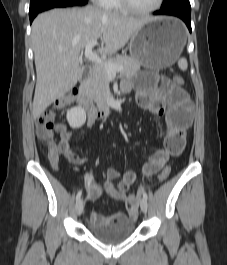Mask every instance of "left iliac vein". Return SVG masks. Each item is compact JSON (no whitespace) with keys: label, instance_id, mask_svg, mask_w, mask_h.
<instances>
[{"label":"left iliac vein","instance_id":"1","mask_svg":"<svg viewBox=\"0 0 227 265\" xmlns=\"http://www.w3.org/2000/svg\"><path fill=\"white\" fill-rule=\"evenodd\" d=\"M140 208L144 213H146L148 210V203L144 198H142L140 201Z\"/></svg>","mask_w":227,"mask_h":265}]
</instances>
